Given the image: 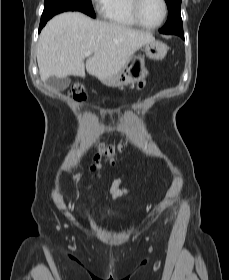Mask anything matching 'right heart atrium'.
I'll use <instances>...</instances> for the list:
<instances>
[{
    "mask_svg": "<svg viewBox=\"0 0 229 280\" xmlns=\"http://www.w3.org/2000/svg\"><path fill=\"white\" fill-rule=\"evenodd\" d=\"M91 1L94 9L99 13H103L108 3V0H91Z\"/></svg>",
    "mask_w": 229,
    "mask_h": 280,
    "instance_id": "obj_1",
    "label": "right heart atrium"
}]
</instances>
